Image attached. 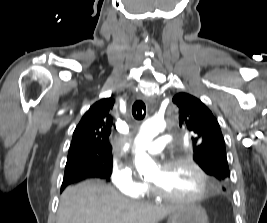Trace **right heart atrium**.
<instances>
[{
    "label": "right heart atrium",
    "mask_w": 267,
    "mask_h": 223,
    "mask_svg": "<svg viewBox=\"0 0 267 223\" xmlns=\"http://www.w3.org/2000/svg\"><path fill=\"white\" fill-rule=\"evenodd\" d=\"M111 181L119 193L131 197H140L147 189V185L136 177L133 168L125 163L113 164Z\"/></svg>",
    "instance_id": "1"
}]
</instances>
